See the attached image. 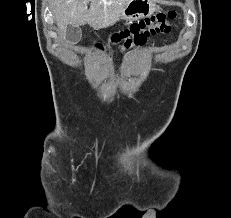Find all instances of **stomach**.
Segmentation results:
<instances>
[{
  "mask_svg": "<svg viewBox=\"0 0 231 218\" xmlns=\"http://www.w3.org/2000/svg\"><path fill=\"white\" fill-rule=\"evenodd\" d=\"M156 8L155 0H128L119 15V19L136 21L150 16L156 11Z\"/></svg>",
  "mask_w": 231,
  "mask_h": 218,
  "instance_id": "0dacf381",
  "label": "stomach"
}]
</instances>
